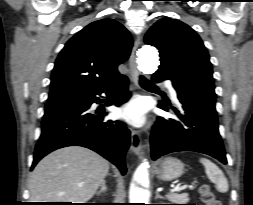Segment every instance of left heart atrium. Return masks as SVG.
Returning <instances> with one entry per match:
<instances>
[{
    "mask_svg": "<svg viewBox=\"0 0 253 205\" xmlns=\"http://www.w3.org/2000/svg\"><path fill=\"white\" fill-rule=\"evenodd\" d=\"M119 116L134 126H141L146 120V106L134 98L119 109Z\"/></svg>",
    "mask_w": 253,
    "mask_h": 205,
    "instance_id": "left-heart-atrium-1",
    "label": "left heart atrium"
}]
</instances>
